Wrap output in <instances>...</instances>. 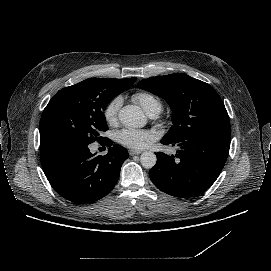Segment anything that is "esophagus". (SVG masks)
<instances>
[{"mask_svg": "<svg viewBox=\"0 0 271 271\" xmlns=\"http://www.w3.org/2000/svg\"><path fill=\"white\" fill-rule=\"evenodd\" d=\"M142 150H129L130 156L141 154Z\"/></svg>", "mask_w": 271, "mask_h": 271, "instance_id": "34e87169", "label": "esophagus"}]
</instances>
